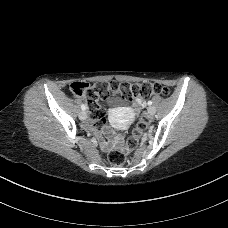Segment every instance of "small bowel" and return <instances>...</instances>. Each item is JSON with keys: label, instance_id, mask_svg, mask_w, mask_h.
<instances>
[{"label": "small bowel", "instance_id": "c3829d8e", "mask_svg": "<svg viewBox=\"0 0 228 228\" xmlns=\"http://www.w3.org/2000/svg\"><path fill=\"white\" fill-rule=\"evenodd\" d=\"M135 107L143 108L144 104L141 100H137ZM92 121L87 124V128L92 129ZM113 122L118 128H125L128 125L127 121L121 122L115 116H113ZM97 137L100 141L103 150L108 151L114 146H120L124 142V136L121 133H115V131L109 127L104 126L101 132L97 133Z\"/></svg>", "mask_w": 228, "mask_h": 228}]
</instances>
